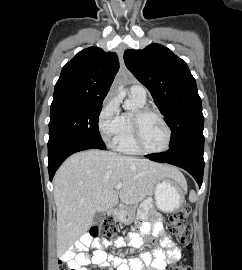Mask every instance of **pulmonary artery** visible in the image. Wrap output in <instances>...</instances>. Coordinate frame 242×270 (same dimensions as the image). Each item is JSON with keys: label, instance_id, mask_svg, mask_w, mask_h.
<instances>
[{"label": "pulmonary artery", "instance_id": "1", "mask_svg": "<svg viewBox=\"0 0 242 270\" xmlns=\"http://www.w3.org/2000/svg\"><path fill=\"white\" fill-rule=\"evenodd\" d=\"M129 95L131 98L141 102L145 103L147 92L143 85L141 84H134L129 89Z\"/></svg>", "mask_w": 242, "mask_h": 270}]
</instances>
